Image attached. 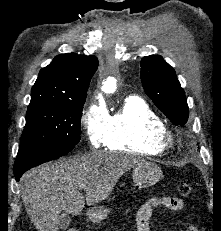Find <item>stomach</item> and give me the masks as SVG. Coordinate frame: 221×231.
I'll return each instance as SVG.
<instances>
[{
  "mask_svg": "<svg viewBox=\"0 0 221 231\" xmlns=\"http://www.w3.org/2000/svg\"><path fill=\"white\" fill-rule=\"evenodd\" d=\"M163 173L158 165L143 161L137 164L132 171L133 182L139 187L152 186L159 182ZM110 209L99 206L91 209L88 213L89 219L94 223H100L108 217Z\"/></svg>",
  "mask_w": 221,
  "mask_h": 231,
  "instance_id": "obj_1",
  "label": "stomach"
}]
</instances>
